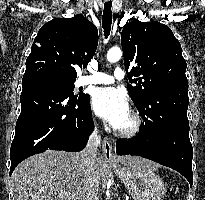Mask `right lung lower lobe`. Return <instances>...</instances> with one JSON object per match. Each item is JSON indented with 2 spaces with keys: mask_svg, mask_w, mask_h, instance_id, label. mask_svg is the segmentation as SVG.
Wrapping results in <instances>:
<instances>
[{
  "mask_svg": "<svg viewBox=\"0 0 205 200\" xmlns=\"http://www.w3.org/2000/svg\"><path fill=\"white\" fill-rule=\"evenodd\" d=\"M21 113L11 144L10 175L24 159L47 150L81 151L94 129L90 96L34 76L22 80Z\"/></svg>",
  "mask_w": 205,
  "mask_h": 200,
  "instance_id": "obj_1",
  "label": "right lung lower lobe"
}]
</instances>
